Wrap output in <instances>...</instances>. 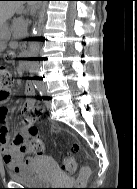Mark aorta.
<instances>
[{"mask_svg": "<svg viewBox=\"0 0 137 189\" xmlns=\"http://www.w3.org/2000/svg\"><path fill=\"white\" fill-rule=\"evenodd\" d=\"M38 32L42 30L41 26H38L37 28ZM41 33H36L35 35L30 36V55L35 56L37 55L38 49H39V36H41ZM30 75H33V82H43L42 79V73L39 71V64L37 61H33L30 67Z\"/></svg>", "mask_w": 137, "mask_h": 189, "instance_id": "aorta-1", "label": "aorta"}]
</instances>
